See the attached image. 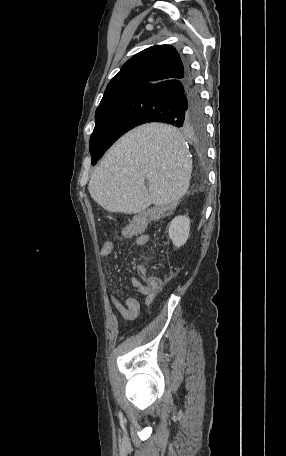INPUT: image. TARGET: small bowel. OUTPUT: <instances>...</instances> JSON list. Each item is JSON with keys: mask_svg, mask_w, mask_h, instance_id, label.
<instances>
[{"mask_svg": "<svg viewBox=\"0 0 286 456\" xmlns=\"http://www.w3.org/2000/svg\"><path fill=\"white\" fill-rule=\"evenodd\" d=\"M132 235H127L122 232V237L129 238ZM149 236L147 234H140L135 238V244L138 247H145L148 244ZM115 249V243L113 241H106L103 243L100 254L103 258L110 257ZM132 284L137 288L138 292L144 297V304L146 307H150L156 297V291L149 290L143 284H138L135 278H132ZM111 304L119 316L124 320L135 319L140 312V302L138 299L132 296H127L124 301H121L116 296L111 295Z\"/></svg>", "mask_w": 286, "mask_h": 456, "instance_id": "obj_1", "label": "small bowel"}]
</instances>
